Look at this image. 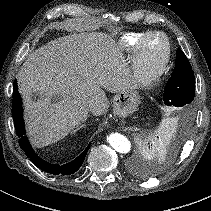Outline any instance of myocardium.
Wrapping results in <instances>:
<instances>
[{
	"instance_id": "f54148a6",
	"label": "myocardium",
	"mask_w": 211,
	"mask_h": 211,
	"mask_svg": "<svg viewBox=\"0 0 211 211\" xmlns=\"http://www.w3.org/2000/svg\"><path fill=\"white\" fill-rule=\"evenodd\" d=\"M153 36H160L165 42V51L161 61L152 68H146L143 58V48L147 40ZM171 57V43L168 37L159 31L146 33L137 43L134 50L132 76L135 85L148 88L154 85L166 70Z\"/></svg>"
}]
</instances>
